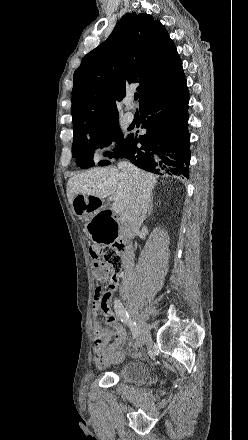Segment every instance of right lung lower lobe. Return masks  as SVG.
Returning a JSON list of instances; mask_svg holds the SVG:
<instances>
[{
	"label": "right lung lower lobe",
	"instance_id": "obj_1",
	"mask_svg": "<svg viewBox=\"0 0 248 440\" xmlns=\"http://www.w3.org/2000/svg\"><path fill=\"white\" fill-rule=\"evenodd\" d=\"M189 93L186 79L174 86L147 98L140 104L142 128L145 135H128L129 142L121 158L129 159L134 165L156 174L163 165L174 175L188 178L190 162L187 129ZM161 119V120H160ZM137 143L141 146L137 147ZM159 158V163L155 161Z\"/></svg>",
	"mask_w": 248,
	"mask_h": 440
}]
</instances>
